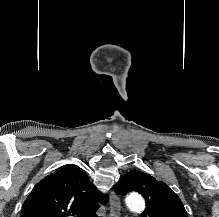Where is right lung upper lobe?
I'll list each match as a JSON object with an SVG mask.
<instances>
[{"label": "right lung upper lobe", "mask_w": 219, "mask_h": 217, "mask_svg": "<svg viewBox=\"0 0 219 217\" xmlns=\"http://www.w3.org/2000/svg\"><path fill=\"white\" fill-rule=\"evenodd\" d=\"M104 199L83 169L65 165L34 187L21 217H97Z\"/></svg>", "instance_id": "1"}]
</instances>
